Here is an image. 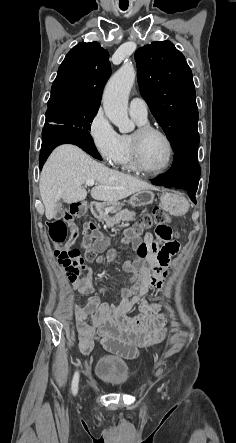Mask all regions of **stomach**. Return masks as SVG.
<instances>
[{
  "mask_svg": "<svg viewBox=\"0 0 236 443\" xmlns=\"http://www.w3.org/2000/svg\"><path fill=\"white\" fill-rule=\"evenodd\" d=\"M154 201V194L150 190H142L137 192L129 199V204L132 207H140L151 204ZM162 204L163 206L173 215H181L184 214L188 207L187 200L181 195L174 193H166L162 196ZM122 203H114L111 204L109 208H111L114 212L118 211L122 207ZM101 209H104V206H101Z\"/></svg>",
  "mask_w": 236,
  "mask_h": 443,
  "instance_id": "obj_1",
  "label": "stomach"
}]
</instances>
